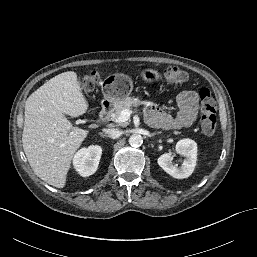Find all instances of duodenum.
<instances>
[{
  "instance_id": "1",
  "label": "duodenum",
  "mask_w": 257,
  "mask_h": 257,
  "mask_svg": "<svg viewBox=\"0 0 257 257\" xmlns=\"http://www.w3.org/2000/svg\"><path fill=\"white\" fill-rule=\"evenodd\" d=\"M113 105L111 102H105L100 110V116L107 119L112 111Z\"/></svg>"
}]
</instances>
